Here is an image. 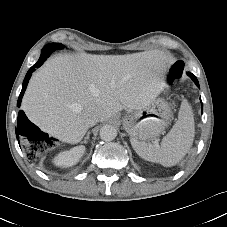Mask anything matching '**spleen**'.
I'll list each match as a JSON object with an SVG mask.
<instances>
[{
    "mask_svg": "<svg viewBox=\"0 0 227 227\" xmlns=\"http://www.w3.org/2000/svg\"><path fill=\"white\" fill-rule=\"evenodd\" d=\"M194 134L193 112L187 100H183L178 120L160 145L157 142L145 143L132 138L130 142L141 158L170 167L176 165L187 154L192 146Z\"/></svg>",
    "mask_w": 227,
    "mask_h": 227,
    "instance_id": "3e777b00",
    "label": "spleen"
}]
</instances>
